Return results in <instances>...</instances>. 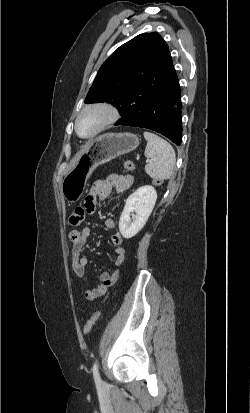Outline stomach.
<instances>
[{
	"label": "stomach",
	"mask_w": 250,
	"mask_h": 413,
	"mask_svg": "<svg viewBox=\"0 0 250 413\" xmlns=\"http://www.w3.org/2000/svg\"><path fill=\"white\" fill-rule=\"evenodd\" d=\"M139 141V137L131 133H106L92 140L61 183L65 200L68 203L78 201L87 180L99 165L135 150Z\"/></svg>",
	"instance_id": "stomach-1"
}]
</instances>
